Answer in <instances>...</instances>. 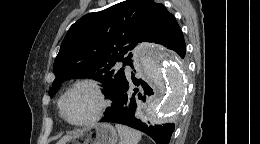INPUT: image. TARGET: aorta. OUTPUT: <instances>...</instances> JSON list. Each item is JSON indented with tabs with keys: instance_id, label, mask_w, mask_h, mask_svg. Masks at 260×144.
<instances>
[{
	"instance_id": "762f6f07",
	"label": "aorta",
	"mask_w": 260,
	"mask_h": 144,
	"mask_svg": "<svg viewBox=\"0 0 260 144\" xmlns=\"http://www.w3.org/2000/svg\"><path fill=\"white\" fill-rule=\"evenodd\" d=\"M139 62L147 77L156 88L149 99L151 111L141 114L144 121L167 119L180 105L184 92V78L175 54L162 48L146 47Z\"/></svg>"
}]
</instances>
